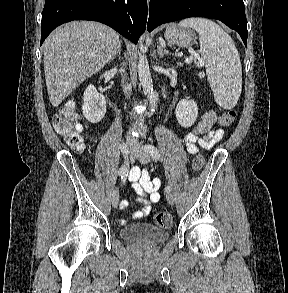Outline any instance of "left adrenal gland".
Returning a JSON list of instances; mask_svg holds the SVG:
<instances>
[{
    "mask_svg": "<svg viewBox=\"0 0 288 293\" xmlns=\"http://www.w3.org/2000/svg\"><path fill=\"white\" fill-rule=\"evenodd\" d=\"M171 53L165 49V46L163 44H160L158 46V56L159 58H163L164 55H170Z\"/></svg>",
    "mask_w": 288,
    "mask_h": 293,
    "instance_id": "obj_1",
    "label": "left adrenal gland"
}]
</instances>
